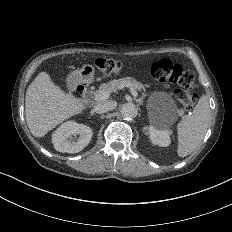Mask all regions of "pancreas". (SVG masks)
<instances>
[{
  "mask_svg": "<svg viewBox=\"0 0 232 232\" xmlns=\"http://www.w3.org/2000/svg\"><path fill=\"white\" fill-rule=\"evenodd\" d=\"M132 88L136 92L145 93V87L143 83L137 81L135 78L126 77L120 78L118 80H111L108 84H102L99 86V90L95 94L106 92L108 94L116 92L118 89H121V86Z\"/></svg>",
  "mask_w": 232,
  "mask_h": 232,
  "instance_id": "pancreas-1",
  "label": "pancreas"
}]
</instances>
